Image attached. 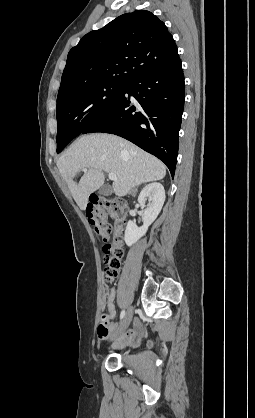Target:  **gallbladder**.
<instances>
[{"instance_id": "bac80fb5", "label": "gallbladder", "mask_w": 255, "mask_h": 418, "mask_svg": "<svg viewBox=\"0 0 255 418\" xmlns=\"http://www.w3.org/2000/svg\"><path fill=\"white\" fill-rule=\"evenodd\" d=\"M113 193V188L109 185H104L100 189V194L103 196H110Z\"/></svg>"}]
</instances>
